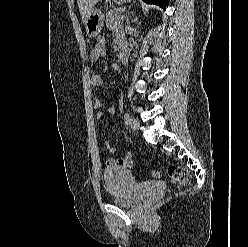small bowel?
Returning a JSON list of instances; mask_svg holds the SVG:
<instances>
[{
    "label": "small bowel",
    "instance_id": "small-bowel-1",
    "mask_svg": "<svg viewBox=\"0 0 248 247\" xmlns=\"http://www.w3.org/2000/svg\"><path fill=\"white\" fill-rule=\"evenodd\" d=\"M119 46L120 48H126L125 44L122 40H119ZM106 54V40L104 37H99L94 44L91 53H90V60L91 62H97L98 60L102 59ZM91 84L95 87H100L103 85V79L100 75L94 74L91 77ZM94 109L98 110L96 112V118L101 119L105 114L112 115L115 112V109L113 107L107 108L105 111L100 110L102 107V103L99 99H95L93 103ZM105 146L109 153L113 154L116 152V148L109 144V142H105ZM107 167H123V168H131L133 166V159L132 154L128 152L125 157L123 158H108L106 160Z\"/></svg>",
    "mask_w": 248,
    "mask_h": 247
}]
</instances>
